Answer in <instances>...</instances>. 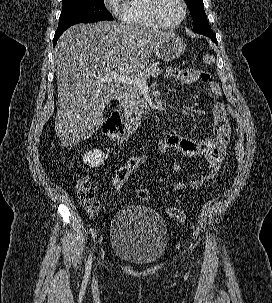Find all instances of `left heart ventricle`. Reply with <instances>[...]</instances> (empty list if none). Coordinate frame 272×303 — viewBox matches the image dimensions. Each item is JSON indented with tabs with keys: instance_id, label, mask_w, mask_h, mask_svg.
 <instances>
[{
	"instance_id": "1",
	"label": "left heart ventricle",
	"mask_w": 272,
	"mask_h": 303,
	"mask_svg": "<svg viewBox=\"0 0 272 303\" xmlns=\"http://www.w3.org/2000/svg\"><path fill=\"white\" fill-rule=\"evenodd\" d=\"M157 12L162 22L171 24L181 17L182 8L178 0H160Z\"/></svg>"
}]
</instances>
